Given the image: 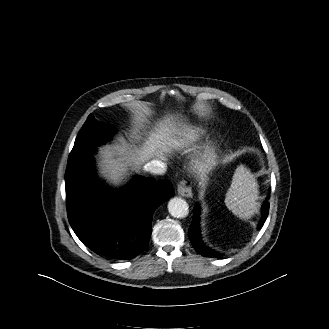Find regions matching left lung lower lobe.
Masks as SVG:
<instances>
[{
	"label": "left lung lower lobe",
	"mask_w": 329,
	"mask_h": 329,
	"mask_svg": "<svg viewBox=\"0 0 329 329\" xmlns=\"http://www.w3.org/2000/svg\"><path fill=\"white\" fill-rule=\"evenodd\" d=\"M269 212V203L265 202V204L262 207V220L259 224V228H261L268 216ZM199 213H200V208L199 205L196 206L194 210V217L192 224L189 228V239L191 240V243L194 247V249L203 256L206 257H213L217 258L220 257L221 255L214 252L212 249L208 248L201 240V234H200V228H199Z\"/></svg>",
	"instance_id": "0a47b994"
}]
</instances>
